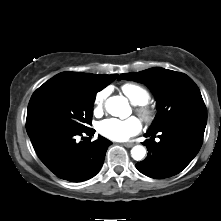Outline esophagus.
I'll return each instance as SVG.
<instances>
[{
    "instance_id": "1",
    "label": "esophagus",
    "mask_w": 221,
    "mask_h": 221,
    "mask_svg": "<svg viewBox=\"0 0 221 221\" xmlns=\"http://www.w3.org/2000/svg\"><path fill=\"white\" fill-rule=\"evenodd\" d=\"M123 145L127 148H130V147L134 146V143L128 142V143H124Z\"/></svg>"
}]
</instances>
